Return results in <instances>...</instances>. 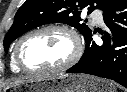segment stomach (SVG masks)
<instances>
[{
	"mask_svg": "<svg viewBox=\"0 0 127 92\" xmlns=\"http://www.w3.org/2000/svg\"><path fill=\"white\" fill-rule=\"evenodd\" d=\"M25 88L29 92H114L93 77L65 74L28 81ZM18 89L20 87L11 86L5 92H15Z\"/></svg>",
	"mask_w": 127,
	"mask_h": 92,
	"instance_id": "1",
	"label": "stomach"
}]
</instances>
